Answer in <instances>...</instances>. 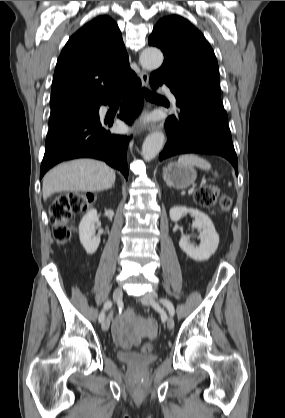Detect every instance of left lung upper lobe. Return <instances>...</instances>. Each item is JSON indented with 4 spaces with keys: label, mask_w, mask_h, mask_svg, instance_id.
Here are the masks:
<instances>
[{
    "label": "left lung upper lobe",
    "mask_w": 285,
    "mask_h": 418,
    "mask_svg": "<svg viewBox=\"0 0 285 418\" xmlns=\"http://www.w3.org/2000/svg\"><path fill=\"white\" fill-rule=\"evenodd\" d=\"M165 56L150 77L160 78L180 99L199 100L223 108L219 68L203 34L178 15L163 17L148 39Z\"/></svg>",
    "instance_id": "5c2ea615"
}]
</instances>
